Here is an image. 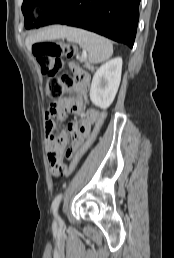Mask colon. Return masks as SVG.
<instances>
[{"instance_id": "obj_1", "label": "colon", "mask_w": 174, "mask_h": 258, "mask_svg": "<svg viewBox=\"0 0 174 258\" xmlns=\"http://www.w3.org/2000/svg\"><path fill=\"white\" fill-rule=\"evenodd\" d=\"M33 54L39 64L42 74L47 76L46 94L55 101L61 98L65 93H71L74 90L75 80L70 75L58 77V72L62 69V59L72 58L76 54V48L73 44L62 41H43L37 42L32 47ZM106 119L105 111H98L91 132L86 137L73 160L69 164L67 174H73L79 167L82 158L92 148L96 142L104 121Z\"/></svg>"}]
</instances>
